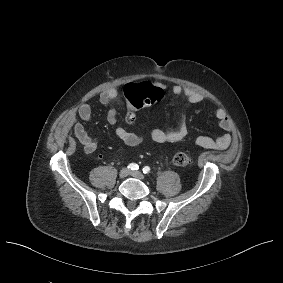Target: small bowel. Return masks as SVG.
Instances as JSON below:
<instances>
[{
	"label": "small bowel",
	"instance_id": "1",
	"mask_svg": "<svg viewBox=\"0 0 283 283\" xmlns=\"http://www.w3.org/2000/svg\"><path fill=\"white\" fill-rule=\"evenodd\" d=\"M156 85L161 89L167 87L166 83L157 80ZM172 93L178 97H184L189 104H197L203 100L202 95L199 93L184 88L179 84H175L172 87ZM118 96L117 90L114 88L107 89L100 94V103L107 108V112L104 117L113 127L117 138L127 146H137L144 141V135L140 133L129 132L118 124V111L116 107L112 106V103ZM215 116L218 120L219 127L224 131L219 137L211 138L208 136H198L194 139V143L197 146L213 149L224 150L231 142V132L233 129L232 122L223 108H219L215 111ZM94 118L91 107L86 101H83L76 114L71 115L67 121L66 126L73 129L74 135L77 140L82 144L84 152L86 154L94 153L98 148V138L94 135L88 134L81 120L84 122H90ZM188 134V128L185 123L174 131H164L161 129H153L150 133L152 141L159 144H175L186 139Z\"/></svg>",
	"mask_w": 283,
	"mask_h": 283
}]
</instances>
